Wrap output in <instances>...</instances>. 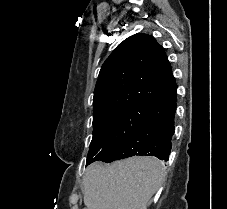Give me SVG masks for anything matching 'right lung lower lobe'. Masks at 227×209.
<instances>
[{
    "instance_id": "1",
    "label": "right lung lower lobe",
    "mask_w": 227,
    "mask_h": 209,
    "mask_svg": "<svg viewBox=\"0 0 227 209\" xmlns=\"http://www.w3.org/2000/svg\"><path fill=\"white\" fill-rule=\"evenodd\" d=\"M169 82L176 84L171 67L167 73ZM175 89L167 96L153 102L143 123L122 143L113 149L101 161L110 163L114 160L131 156H155L167 161L174 134V116L176 111Z\"/></svg>"
}]
</instances>
